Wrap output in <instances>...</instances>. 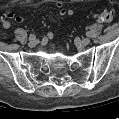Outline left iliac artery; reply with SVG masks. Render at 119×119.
<instances>
[{"mask_svg":"<svg viewBox=\"0 0 119 119\" xmlns=\"http://www.w3.org/2000/svg\"><path fill=\"white\" fill-rule=\"evenodd\" d=\"M86 35H87L88 37H90V36H91V32H87Z\"/></svg>","mask_w":119,"mask_h":119,"instance_id":"44dca946","label":"left iliac artery"}]
</instances>
